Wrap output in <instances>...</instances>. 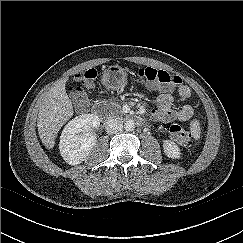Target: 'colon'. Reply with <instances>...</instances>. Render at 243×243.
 <instances>
[{
	"instance_id": "5ec220e1",
	"label": "colon",
	"mask_w": 243,
	"mask_h": 243,
	"mask_svg": "<svg viewBox=\"0 0 243 243\" xmlns=\"http://www.w3.org/2000/svg\"><path fill=\"white\" fill-rule=\"evenodd\" d=\"M137 75L148 82L159 84L167 89H173L182 83L178 75L152 67L138 69ZM96 76L97 71L95 69H88L74 76L75 84L70 86L69 90L74 104L78 109H85L88 103L83 85H90ZM169 133L171 138L180 144H187L191 140L190 133L178 124L170 125Z\"/></svg>"
}]
</instances>
